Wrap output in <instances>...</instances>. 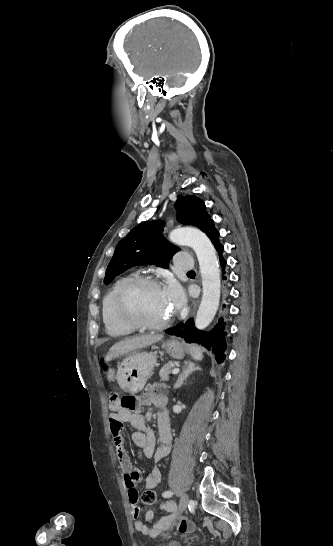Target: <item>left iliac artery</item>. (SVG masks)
<instances>
[{
  "mask_svg": "<svg viewBox=\"0 0 333 546\" xmlns=\"http://www.w3.org/2000/svg\"><path fill=\"white\" fill-rule=\"evenodd\" d=\"M172 495H173L172 491H166V492L163 493L164 497H171Z\"/></svg>",
  "mask_w": 333,
  "mask_h": 546,
  "instance_id": "1",
  "label": "left iliac artery"
}]
</instances>
